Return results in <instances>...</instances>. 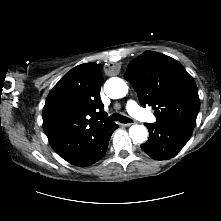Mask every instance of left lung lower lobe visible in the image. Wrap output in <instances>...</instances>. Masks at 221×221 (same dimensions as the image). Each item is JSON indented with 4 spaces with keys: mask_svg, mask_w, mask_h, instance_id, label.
I'll list each match as a JSON object with an SVG mask.
<instances>
[{
    "mask_svg": "<svg viewBox=\"0 0 221 221\" xmlns=\"http://www.w3.org/2000/svg\"><path fill=\"white\" fill-rule=\"evenodd\" d=\"M149 139L141 149L155 160L174 157L190 139L194 126L188 124L145 123Z\"/></svg>",
    "mask_w": 221,
    "mask_h": 221,
    "instance_id": "0a47b994",
    "label": "left lung lower lobe"
}]
</instances>
